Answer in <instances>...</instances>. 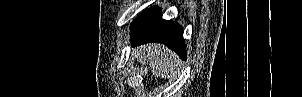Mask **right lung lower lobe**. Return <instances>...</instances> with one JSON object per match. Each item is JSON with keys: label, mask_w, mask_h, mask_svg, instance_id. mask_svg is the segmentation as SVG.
Wrapping results in <instances>:
<instances>
[{"label": "right lung lower lobe", "mask_w": 302, "mask_h": 97, "mask_svg": "<svg viewBox=\"0 0 302 97\" xmlns=\"http://www.w3.org/2000/svg\"><path fill=\"white\" fill-rule=\"evenodd\" d=\"M158 7L143 11L132 23V46L150 42L162 43L186 59V46L182 27L173 21L164 20Z\"/></svg>", "instance_id": "obj_1"}]
</instances>
